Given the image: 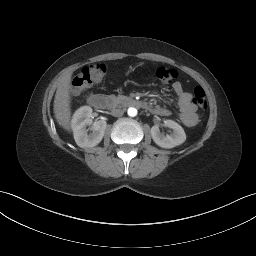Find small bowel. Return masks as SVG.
Returning a JSON list of instances; mask_svg holds the SVG:
<instances>
[{
    "instance_id": "obj_1",
    "label": "small bowel",
    "mask_w": 256,
    "mask_h": 256,
    "mask_svg": "<svg viewBox=\"0 0 256 256\" xmlns=\"http://www.w3.org/2000/svg\"><path fill=\"white\" fill-rule=\"evenodd\" d=\"M172 89L177 95L178 107L180 111V120L188 127H192L198 122V114L196 106L192 102V95L183 89L180 82H175ZM152 112L159 116H169L170 111L162 106H154L151 108Z\"/></svg>"
}]
</instances>
